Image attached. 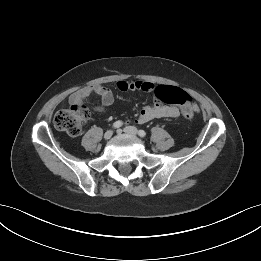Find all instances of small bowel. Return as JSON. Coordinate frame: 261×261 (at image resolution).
I'll return each mask as SVG.
<instances>
[{"instance_id":"obj_1","label":"small bowel","mask_w":261,"mask_h":261,"mask_svg":"<svg viewBox=\"0 0 261 261\" xmlns=\"http://www.w3.org/2000/svg\"><path fill=\"white\" fill-rule=\"evenodd\" d=\"M117 88L120 91L140 90L147 93H153L156 91L155 85L146 81H119L117 83ZM92 94H96L101 98V106L95 108L98 112L104 111V109L109 107L114 101L113 93L109 88L103 84H95L85 86L72 93L69 97V103L71 105L81 104ZM196 110L197 106L194 104V111ZM181 113L183 114L182 110L176 106L163 105L156 101L151 105L144 106L140 110L136 123L144 124L158 118H176L180 116Z\"/></svg>"}]
</instances>
